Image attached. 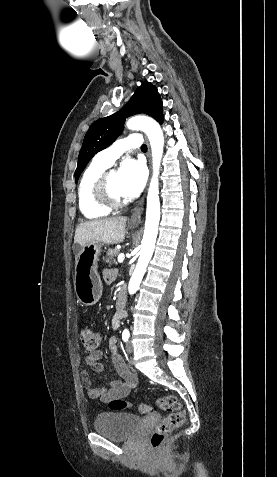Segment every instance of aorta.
Here are the masks:
<instances>
[{"label":"aorta","mask_w":277,"mask_h":477,"mask_svg":"<svg viewBox=\"0 0 277 477\" xmlns=\"http://www.w3.org/2000/svg\"><path fill=\"white\" fill-rule=\"evenodd\" d=\"M131 130H142L148 136L153 163V176L150 182L147 195L146 221L144 235L141 244L140 257L129 282L128 291L130 294L136 293L147 265L152 257L158 233L160 220V200L158 175L160 163L163 155L164 136L160 125L153 119L145 116H136L126 123Z\"/></svg>","instance_id":"obj_1"}]
</instances>
